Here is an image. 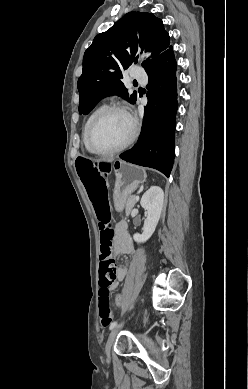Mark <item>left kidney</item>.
<instances>
[{"mask_svg": "<svg viewBox=\"0 0 248 389\" xmlns=\"http://www.w3.org/2000/svg\"><path fill=\"white\" fill-rule=\"evenodd\" d=\"M163 201L164 192L158 186H152L144 193L140 204L146 210L147 217L144 221L143 233L133 235L135 242L144 243L152 236L160 219Z\"/></svg>", "mask_w": 248, "mask_h": 389, "instance_id": "left-kidney-1", "label": "left kidney"}]
</instances>
